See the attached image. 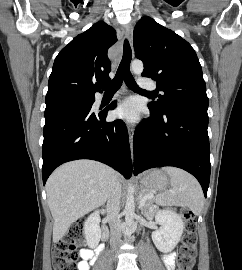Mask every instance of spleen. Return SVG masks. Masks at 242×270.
Segmentation results:
<instances>
[{"label":"spleen","instance_id":"1","mask_svg":"<svg viewBox=\"0 0 242 270\" xmlns=\"http://www.w3.org/2000/svg\"><path fill=\"white\" fill-rule=\"evenodd\" d=\"M164 170L170 176L171 189L158 194L157 201L188 207L194 214L199 215L204 206V195L198 181L179 168L166 167Z\"/></svg>","mask_w":242,"mask_h":270}]
</instances>
